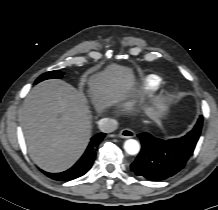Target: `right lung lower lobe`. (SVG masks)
Listing matches in <instances>:
<instances>
[{
	"label": "right lung lower lobe",
	"instance_id": "98d812e1",
	"mask_svg": "<svg viewBox=\"0 0 218 210\" xmlns=\"http://www.w3.org/2000/svg\"><path fill=\"white\" fill-rule=\"evenodd\" d=\"M105 135V133H99L93 136L83 156L70 169L61 173H48L44 171L43 173L49 176L50 178L58 181H69L84 175L92 167L96 156L97 146L105 137Z\"/></svg>",
	"mask_w": 218,
	"mask_h": 210
}]
</instances>
